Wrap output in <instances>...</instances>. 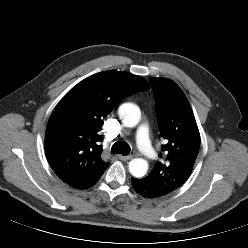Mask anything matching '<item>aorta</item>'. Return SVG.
<instances>
[{"mask_svg": "<svg viewBox=\"0 0 248 248\" xmlns=\"http://www.w3.org/2000/svg\"><path fill=\"white\" fill-rule=\"evenodd\" d=\"M118 114L127 127H135L141 119L140 109L133 103L122 104L118 109ZM129 171L134 177L141 178L148 171V162L141 158L132 159L129 162Z\"/></svg>", "mask_w": 248, "mask_h": 248, "instance_id": "1", "label": "aorta"}]
</instances>
